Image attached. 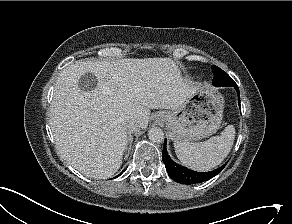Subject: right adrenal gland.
I'll return each mask as SVG.
<instances>
[{
    "instance_id": "2a0ac1e0",
    "label": "right adrenal gland",
    "mask_w": 292,
    "mask_h": 224,
    "mask_svg": "<svg viewBox=\"0 0 292 224\" xmlns=\"http://www.w3.org/2000/svg\"><path fill=\"white\" fill-rule=\"evenodd\" d=\"M127 141L129 143V147L127 148L128 150V153L126 155V157L129 156V153H130V150H131V146H132V143H133V136H132V133H129L128 136H127Z\"/></svg>"
}]
</instances>
